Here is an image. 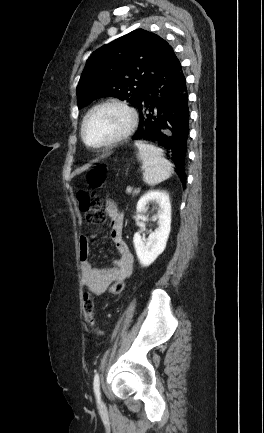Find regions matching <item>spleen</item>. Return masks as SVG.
Returning <instances> with one entry per match:
<instances>
[{
    "label": "spleen",
    "instance_id": "1",
    "mask_svg": "<svg viewBox=\"0 0 264 433\" xmlns=\"http://www.w3.org/2000/svg\"><path fill=\"white\" fill-rule=\"evenodd\" d=\"M135 146L145 167L143 180L146 184L154 186L171 177L172 164L163 157L162 149L143 141H135Z\"/></svg>",
    "mask_w": 264,
    "mask_h": 433
}]
</instances>
